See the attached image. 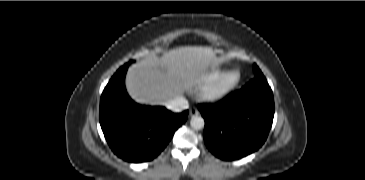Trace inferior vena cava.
<instances>
[{"label": "inferior vena cava", "instance_id": "602c4592", "mask_svg": "<svg viewBox=\"0 0 365 180\" xmlns=\"http://www.w3.org/2000/svg\"><path fill=\"white\" fill-rule=\"evenodd\" d=\"M167 109H170L174 112H181L182 110L188 109L189 104L188 101L184 97H177L173 100L165 103Z\"/></svg>", "mask_w": 365, "mask_h": 180}]
</instances>
